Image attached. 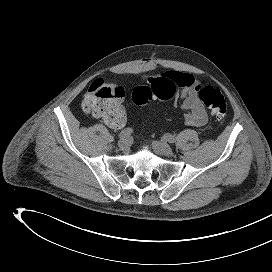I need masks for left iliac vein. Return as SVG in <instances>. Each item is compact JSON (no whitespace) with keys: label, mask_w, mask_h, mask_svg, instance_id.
Returning <instances> with one entry per match:
<instances>
[{"label":"left iliac vein","mask_w":272,"mask_h":272,"mask_svg":"<svg viewBox=\"0 0 272 272\" xmlns=\"http://www.w3.org/2000/svg\"><path fill=\"white\" fill-rule=\"evenodd\" d=\"M153 149L159 155L171 157L173 156V151L171 147L164 141H153L152 142Z\"/></svg>","instance_id":"left-iliac-vein-1"}]
</instances>
